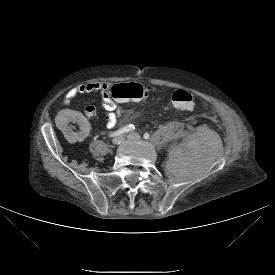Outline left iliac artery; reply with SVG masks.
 Listing matches in <instances>:
<instances>
[{"label": "left iliac artery", "instance_id": "obj_1", "mask_svg": "<svg viewBox=\"0 0 275 275\" xmlns=\"http://www.w3.org/2000/svg\"><path fill=\"white\" fill-rule=\"evenodd\" d=\"M143 137H144V139H148L149 138V134L145 133Z\"/></svg>", "mask_w": 275, "mask_h": 275}]
</instances>
